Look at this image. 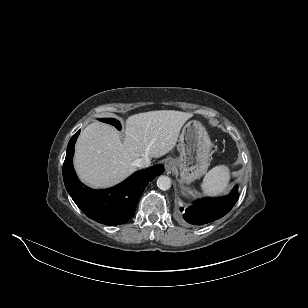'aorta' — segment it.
Masks as SVG:
<instances>
[{"mask_svg": "<svg viewBox=\"0 0 308 308\" xmlns=\"http://www.w3.org/2000/svg\"><path fill=\"white\" fill-rule=\"evenodd\" d=\"M157 186L161 190H168L171 187V179L168 176L161 175L157 179Z\"/></svg>", "mask_w": 308, "mask_h": 308, "instance_id": "762f6f07", "label": "aorta"}]
</instances>
